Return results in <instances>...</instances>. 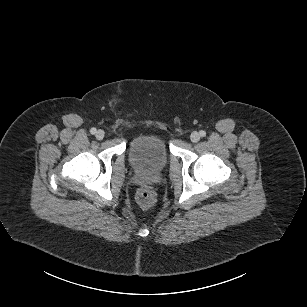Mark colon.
<instances>
[{"mask_svg":"<svg viewBox=\"0 0 307 307\" xmlns=\"http://www.w3.org/2000/svg\"><path fill=\"white\" fill-rule=\"evenodd\" d=\"M137 201L143 208L151 209L156 205L157 198L152 189L144 187L138 191Z\"/></svg>","mask_w":307,"mask_h":307,"instance_id":"1","label":"colon"}]
</instances>
